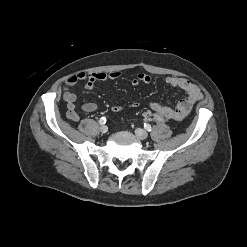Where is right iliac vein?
I'll return each instance as SVG.
<instances>
[{"mask_svg":"<svg viewBox=\"0 0 247 247\" xmlns=\"http://www.w3.org/2000/svg\"><path fill=\"white\" fill-rule=\"evenodd\" d=\"M100 131H101V133H106L107 131H108V127L107 126H105V125H102L101 127H100Z\"/></svg>","mask_w":247,"mask_h":247,"instance_id":"63e3f726","label":"right iliac vein"}]
</instances>
